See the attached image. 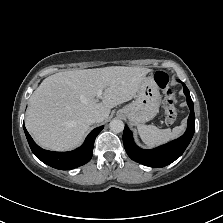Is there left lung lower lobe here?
<instances>
[{
	"instance_id": "left-lung-lower-lobe-1",
	"label": "left lung lower lobe",
	"mask_w": 223,
	"mask_h": 223,
	"mask_svg": "<svg viewBox=\"0 0 223 223\" xmlns=\"http://www.w3.org/2000/svg\"><path fill=\"white\" fill-rule=\"evenodd\" d=\"M178 81L183 85V91L190 108L186 132L180 138L172 142L152 150H144L134 143L131 131L127 126H125L123 132V143L128 156L132 160L149 167H164L179 158L189 145L195 131L194 106L188 88L183 82L180 80Z\"/></svg>"
}]
</instances>
